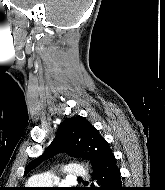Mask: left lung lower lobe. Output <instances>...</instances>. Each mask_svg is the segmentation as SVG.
I'll list each match as a JSON object with an SVG mask.
<instances>
[{"label": "left lung lower lobe", "mask_w": 165, "mask_h": 190, "mask_svg": "<svg viewBox=\"0 0 165 190\" xmlns=\"http://www.w3.org/2000/svg\"><path fill=\"white\" fill-rule=\"evenodd\" d=\"M93 178L100 186L95 190H122L120 171L113 153L93 166Z\"/></svg>", "instance_id": "left-lung-lower-lobe-1"}]
</instances>
